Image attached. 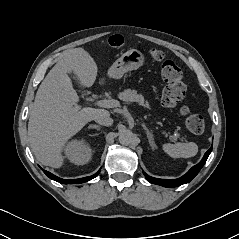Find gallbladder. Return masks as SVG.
I'll return each mask as SVG.
<instances>
[{"label":"gallbladder","instance_id":"bac80fb5","mask_svg":"<svg viewBox=\"0 0 239 239\" xmlns=\"http://www.w3.org/2000/svg\"><path fill=\"white\" fill-rule=\"evenodd\" d=\"M72 74H73V73H72ZM73 77H74L75 80L78 81L77 76H76L75 74H73Z\"/></svg>","mask_w":239,"mask_h":239}]
</instances>
